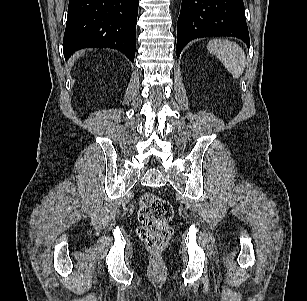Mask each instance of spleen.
Instances as JSON below:
<instances>
[{"label":"spleen","instance_id":"spleen-1","mask_svg":"<svg viewBox=\"0 0 307 301\" xmlns=\"http://www.w3.org/2000/svg\"><path fill=\"white\" fill-rule=\"evenodd\" d=\"M208 51L215 55L235 79H238L246 65L243 49L227 39H213L208 43Z\"/></svg>","mask_w":307,"mask_h":301}]
</instances>
